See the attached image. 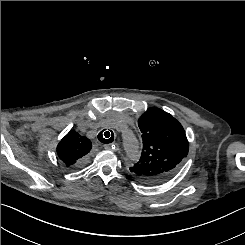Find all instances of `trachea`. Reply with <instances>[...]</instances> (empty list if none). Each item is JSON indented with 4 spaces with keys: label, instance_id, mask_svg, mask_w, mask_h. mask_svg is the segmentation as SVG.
Here are the masks:
<instances>
[{
    "label": "trachea",
    "instance_id": "1",
    "mask_svg": "<svg viewBox=\"0 0 245 245\" xmlns=\"http://www.w3.org/2000/svg\"><path fill=\"white\" fill-rule=\"evenodd\" d=\"M98 140L102 143L108 144L114 141V134L111 130H104L98 134Z\"/></svg>",
    "mask_w": 245,
    "mask_h": 245
}]
</instances>
